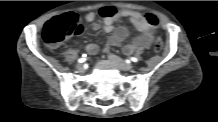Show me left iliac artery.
I'll return each mask as SVG.
<instances>
[{
  "mask_svg": "<svg viewBox=\"0 0 218 122\" xmlns=\"http://www.w3.org/2000/svg\"><path fill=\"white\" fill-rule=\"evenodd\" d=\"M130 59H131V61H133V62H138V59L135 58V57H131Z\"/></svg>",
  "mask_w": 218,
  "mask_h": 122,
  "instance_id": "44dca946",
  "label": "left iliac artery"
}]
</instances>
